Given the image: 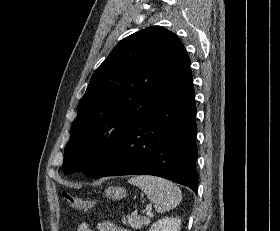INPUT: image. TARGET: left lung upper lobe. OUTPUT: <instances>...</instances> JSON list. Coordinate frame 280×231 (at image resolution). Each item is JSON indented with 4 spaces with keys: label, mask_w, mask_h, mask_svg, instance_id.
Returning a JSON list of instances; mask_svg holds the SVG:
<instances>
[{
    "label": "left lung upper lobe",
    "mask_w": 280,
    "mask_h": 231,
    "mask_svg": "<svg viewBox=\"0 0 280 231\" xmlns=\"http://www.w3.org/2000/svg\"><path fill=\"white\" fill-rule=\"evenodd\" d=\"M192 74L180 39L160 26L120 41L91 77L71 125L63 172L93 176L119 138Z\"/></svg>",
    "instance_id": "obj_1"
}]
</instances>
